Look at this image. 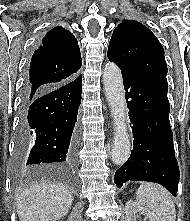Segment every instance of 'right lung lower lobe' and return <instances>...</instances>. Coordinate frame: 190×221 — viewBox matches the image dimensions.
<instances>
[{"label": "right lung lower lobe", "mask_w": 190, "mask_h": 221, "mask_svg": "<svg viewBox=\"0 0 190 221\" xmlns=\"http://www.w3.org/2000/svg\"><path fill=\"white\" fill-rule=\"evenodd\" d=\"M81 91V75L30 95L25 87L15 155L18 171L48 164L74 165Z\"/></svg>", "instance_id": "right-lung-lower-lobe-1"}]
</instances>
